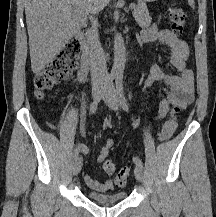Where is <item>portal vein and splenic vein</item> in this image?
I'll return each mask as SVG.
<instances>
[{
	"label": "portal vein and splenic vein",
	"mask_w": 216,
	"mask_h": 217,
	"mask_svg": "<svg viewBox=\"0 0 216 217\" xmlns=\"http://www.w3.org/2000/svg\"><path fill=\"white\" fill-rule=\"evenodd\" d=\"M129 7H130V9H134V8H135V6H134V5H130Z\"/></svg>",
	"instance_id": "18ae733b"
}]
</instances>
